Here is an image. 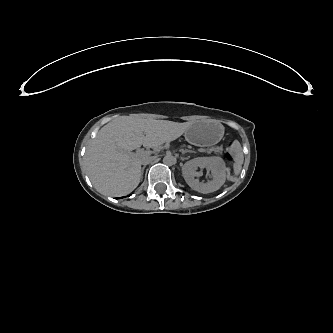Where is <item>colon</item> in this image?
Returning <instances> with one entry per match:
<instances>
[{"label": "colon", "mask_w": 333, "mask_h": 333, "mask_svg": "<svg viewBox=\"0 0 333 333\" xmlns=\"http://www.w3.org/2000/svg\"><path fill=\"white\" fill-rule=\"evenodd\" d=\"M226 156H227L229 161H233V157H232V154H231L230 151H227Z\"/></svg>", "instance_id": "1"}]
</instances>
